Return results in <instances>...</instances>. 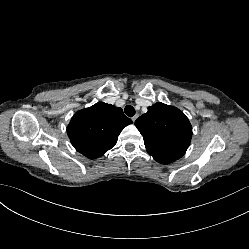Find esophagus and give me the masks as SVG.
<instances>
[{"label":"esophagus","mask_w":249,"mask_h":249,"mask_svg":"<svg viewBox=\"0 0 249 249\" xmlns=\"http://www.w3.org/2000/svg\"><path fill=\"white\" fill-rule=\"evenodd\" d=\"M138 115L136 114L135 116L132 117V121L135 122L137 119Z\"/></svg>","instance_id":"esophagus-1"}]
</instances>
